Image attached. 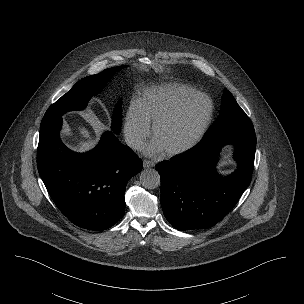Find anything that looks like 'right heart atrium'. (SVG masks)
I'll use <instances>...</instances> for the list:
<instances>
[{
	"mask_svg": "<svg viewBox=\"0 0 304 304\" xmlns=\"http://www.w3.org/2000/svg\"><path fill=\"white\" fill-rule=\"evenodd\" d=\"M124 135L127 144L138 149L150 135V124L144 117L137 103H132L124 120Z\"/></svg>",
	"mask_w": 304,
	"mask_h": 304,
	"instance_id": "right-heart-atrium-1",
	"label": "right heart atrium"
}]
</instances>
